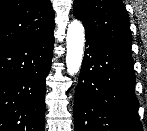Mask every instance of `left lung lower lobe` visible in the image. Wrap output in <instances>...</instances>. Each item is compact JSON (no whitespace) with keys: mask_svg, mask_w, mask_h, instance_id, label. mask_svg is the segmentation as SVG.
Returning a JSON list of instances; mask_svg holds the SVG:
<instances>
[{"mask_svg":"<svg viewBox=\"0 0 147 131\" xmlns=\"http://www.w3.org/2000/svg\"><path fill=\"white\" fill-rule=\"evenodd\" d=\"M132 55L86 36L74 100L75 131H143Z\"/></svg>","mask_w":147,"mask_h":131,"instance_id":"obj_1","label":"left lung lower lobe"}]
</instances>
